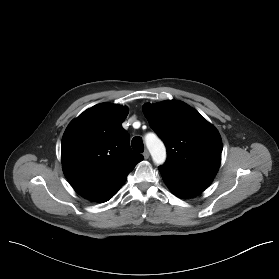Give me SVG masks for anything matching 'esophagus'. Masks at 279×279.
I'll return each mask as SVG.
<instances>
[{"instance_id":"esophagus-1","label":"esophagus","mask_w":279,"mask_h":279,"mask_svg":"<svg viewBox=\"0 0 279 279\" xmlns=\"http://www.w3.org/2000/svg\"><path fill=\"white\" fill-rule=\"evenodd\" d=\"M143 156H144L145 159L149 158L150 154H149L148 150L144 151Z\"/></svg>"}]
</instances>
